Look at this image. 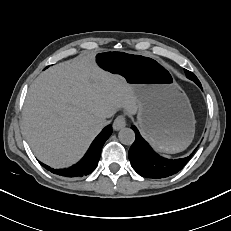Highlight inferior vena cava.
Listing matches in <instances>:
<instances>
[{
  "instance_id": "1",
  "label": "inferior vena cava",
  "mask_w": 231,
  "mask_h": 231,
  "mask_svg": "<svg viewBox=\"0 0 231 231\" xmlns=\"http://www.w3.org/2000/svg\"><path fill=\"white\" fill-rule=\"evenodd\" d=\"M109 123H110V121H108L106 119H102L100 121V125H101L102 128L105 127L106 125H108Z\"/></svg>"
}]
</instances>
